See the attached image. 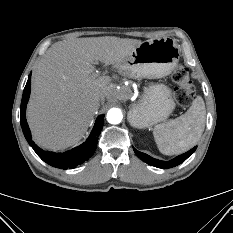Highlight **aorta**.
<instances>
[{
    "instance_id": "762f6f07",
    "label": "aorta",
    "mask_w": 233,
    "mask_h": 233,
    "mask_svg": "<svg viewBox=\"0 0 233 233\" xmlns=\"http://www.w3.org/2000/svg\"><path fill=\"white\" fill-rule=\"evenodd\" d=\"M122 112L118 108H111L107 113V121L110 124H119L122 121Z\"/></svg>"
}]
</instances>
